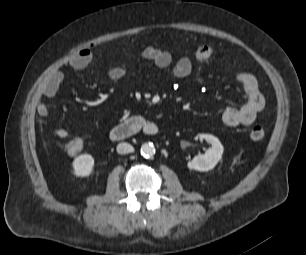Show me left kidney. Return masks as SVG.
I'll return each instance as SVG.
<instances>
[{
  "label": "left kidney",
  "mask_w": 306,
  "mask_h": 255,
  "mask_svg": "<svg viewBox=\"0 0 306 255\" xmlns=\"http://www.w3.org/2000/svg\"><path fill=\"white\" fill-rule=\"evenodd\" d=\"M199 138L206 140L211 148L204 154L195 156L193 160L187 163V167L190 170L209 171L221 160L224 148L219 139L213 135L200 134Z\"/></svg>",
  "instance_id": "1"
}]
</instances>
